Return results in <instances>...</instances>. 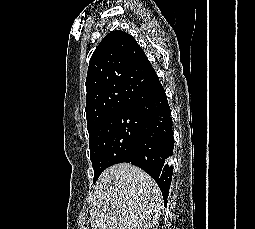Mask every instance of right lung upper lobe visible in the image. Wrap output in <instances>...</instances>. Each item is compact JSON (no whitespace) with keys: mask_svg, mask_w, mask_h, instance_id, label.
I'll list each match as a JSON object with an SVG mask.
<instances>
[{"mask_svg":"<svg viewBox=\"0 0 255 229\" xmlns=\"http://www.w3.org/2000/svg\"><path fill=\"white\" fill-rule=\"evenodd\" d=\"M156 72L137 41L123 31L107 34L94 51L86 78L89 136L142 97Z\"/></svg>","mask_w":255,"mask_h":229,"instance_id":"right-lung-upper-lobe-1","label":"right lung upper lobe"}]
</instances>
